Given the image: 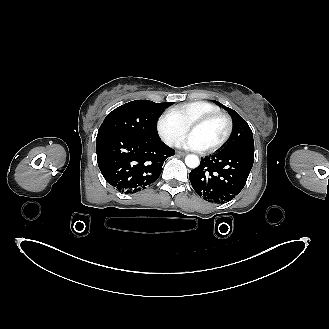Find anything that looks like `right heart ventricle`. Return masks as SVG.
I'll use <instances>...</instances> for the list:
<instances>
[{
  "label": "right heart ventricle",
  "instance_id": "1",
  "mask_svg": "<svg viewBox=\"0 0 329 329\" xmlns=\"http://www.w3.org/2000/svg\"><path fill=\"white\" fill-rule=\"evenodd\" d=\"M171 112L184 126L188 127L193 120L210 113L220 112V108L208 101L199 100L175 106Z\"/></svg>",
  "mask_w": 329,
  "mask_h": 329
}]
</instances>
